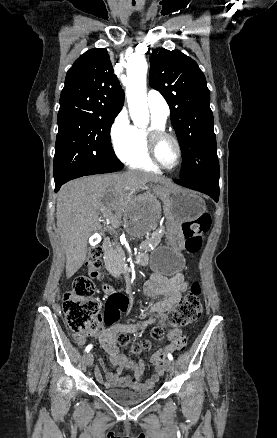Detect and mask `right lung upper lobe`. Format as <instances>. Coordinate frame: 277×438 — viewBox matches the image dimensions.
I'll return each instance as SVG.
<instances>
[{
  "mask_svg": "<svg viewBox=\"0 0 277 438\" xmlns=\"http://www.w3.org/2000/svg\"><path fill=\"white\" fill-rule=\"evenodd\" d=\"M123 104L124 91L113 74L107 51L91 49L67 72L58 117L115 118Z\"/></svg>",
  "mask_w": 277,
  "mask_h": 438,
  "instance_id": "obj_1",
  "label": "right lung upper lobe"
}]
</instances>
